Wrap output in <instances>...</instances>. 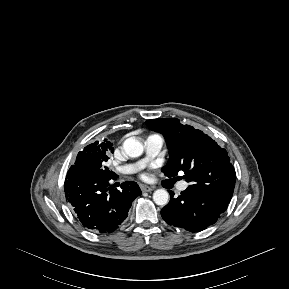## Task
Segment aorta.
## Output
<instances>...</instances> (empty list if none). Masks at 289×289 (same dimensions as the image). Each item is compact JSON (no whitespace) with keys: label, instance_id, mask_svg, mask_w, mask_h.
<instances>
[{"label":"aorta","instance_id":"aorta-1","mask_svg":"<svg viewBox=\"0 0 289 289\" xmlns=\"http://www.w3.org/2000/svg\"><path fill=\"white\" fill-rule=\"evenodd\" d=\"M125 153L132 157H139L143 153V144L136 138L130 137L123 142ZM153 200L159 206H165L169 202V194L164 189H158L153 193Z\"/></svg>","mask_w":289,"mask_h":289}]
</instances>
